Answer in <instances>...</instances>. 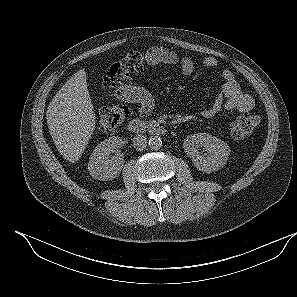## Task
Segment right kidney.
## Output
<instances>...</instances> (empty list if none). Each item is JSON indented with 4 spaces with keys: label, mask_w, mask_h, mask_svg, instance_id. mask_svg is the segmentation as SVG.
<instances>
[{
    "label": "right kidney",
    "mask_w": 297,
    "mask_h": 297,
    "mask_svg": "<svg viewBox=\"0 0 297 297\" xmlns=\"http://www.w3.org/2000/svg\"><path fill=\"white\" fill-rule=\"evenodd\" d=\"M122 144L120 137L112 136L96 146L88 163V171L93 178L105 181L120 174L125 162L119 150ZM113 152L115 156L110 157Z\"/></svg>",
    "instance_id": "ca27d5eb"
}]
</instances>
